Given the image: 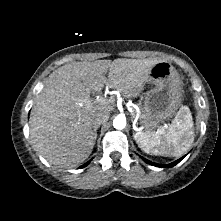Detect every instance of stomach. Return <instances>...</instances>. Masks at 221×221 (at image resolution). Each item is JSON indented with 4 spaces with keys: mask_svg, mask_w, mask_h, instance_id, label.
Here are the masks:
<instances>
[{
    "mask_svg": "<svg viewBox=\"0 0 221 221\" xmlns=\"http://www.w3.org/2000/svg\"><path fill=\"white\" fill-rule=\"evenodd\" d=\"M142 114V126L149 130L171 118L181 102V79L167 61H159L150 70Z\"/></svg>",
    "mask_w": 221,
    "mask_h": 221,
    "instance_id": "obj_1",
    "label": "stomach"
}]
</instances>
